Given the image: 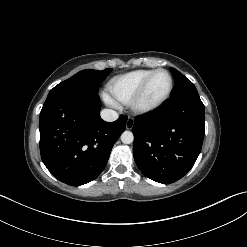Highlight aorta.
Wrapping results in <instances>:
<instances>
[{
    "label": "aorta",
    "instance_id": "aorta-1",
    "mask_svg": "<svg viewBox=\"0 0 247 247\" xmlns=\"http://www.w3.org/2000/svg\"><path fill=\"white\" fill-rule=\"evenodd\" d=\"M134 140V135L132 132L130 131H124L122 134H121V141L124 143V144H131Z\"/></svg>",
    "mask_w": 247,
    "mask_h": 247
}]
</instances>
